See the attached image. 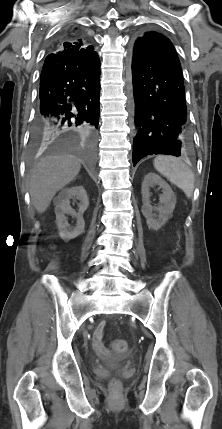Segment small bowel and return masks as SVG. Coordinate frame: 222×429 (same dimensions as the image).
I'll return each mask as SVG.
<instances>
[{"instance_id": "c3829d8e", "label": "small bowel", "mask_w": 222, "mask_h": 429, "mask_svg": "<svg viewBox=\"0 0 222 429\" xmlns=\"http://www.w3.org/2000/svg\"><path fill=\"white\" fill-rule=\"evenodd\" d=\"M105 324L102 322L97 327L94 336H93V346L96 352L102 357H108L110 355L109 350L103 343V332H104Z\"/></svg>"}]
</instances>
